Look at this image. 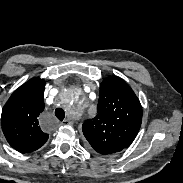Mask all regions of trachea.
Returning <instances> with one entry per match:
<instances>
[{"instance_id":"obj_1","label":"trachea","mask_w":183,"mask_h":183,"mask_svg":"<svg viewBox=\"0 0 183 183\" xmlns=\"http://www.w3.org/2000/svg\"><path fill=\"white\" fill-rule=\"evenodd\" d=\"M55 115L56 117L60 120V121H63V119L65 118V112L63 109L61 108H57L55 110Z\"/></svg>"}]
</instances>
